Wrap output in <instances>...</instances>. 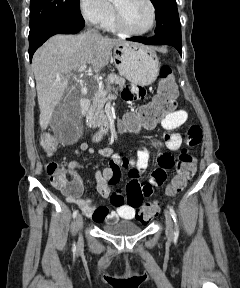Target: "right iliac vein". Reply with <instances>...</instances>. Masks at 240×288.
I'll return each mask as SVG.
<instances>
[{
  "label": "right iliac vein",
  "instance_id": "1",
  "mask_svg": "<svg viewBox=\"0 0 240 288\" xmlns=\"http://www.w3.org/2000/svg\"><path fill=\"white\" fill-rule=\"evenodd\" d=\"M76 226L78 228L79 231H81L82 226H83V217L81 214H78V216L76 217ZM83 243V237L81 232L79 233V240H78V246H81Z\"/></svg>",
  "mask_w": 240,
  "mask_h": 288
}]
</instances>
